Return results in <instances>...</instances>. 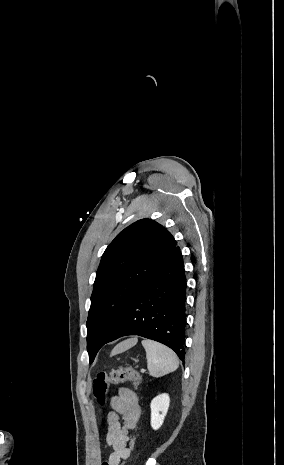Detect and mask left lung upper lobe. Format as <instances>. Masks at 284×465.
Returning <instances> with one entry per match:
<instances>
[{"instance_id":"left-lung-upper-lobe-1","label":"left lung upper lobe","mask_w":284,"mask_h":465,"mask_svg":"<svg viewBox=\"0 0 284 465\" xmlns=\"http://www.w3.org/2000/svg\"><path fill=\"white\" fill-rule=\"evenodd\" d=\"M175 247L170 232L146 218L125 228L106 248L96 273L86 323L90 363L130 300Z\"/></svg>"}]
</instances>
